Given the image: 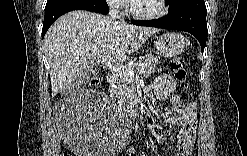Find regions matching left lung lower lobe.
Masks as SVG:
<instances>
[{
    "label": "left lung lower lobe",
    "instance_id": "1",
    "mask_svg": "<svg viewBox=\"0 0 247 156\" xmlns=\"http://www.w3.org/2000/svg\"><path fill=\"white\" fill-rule=\"evenodd\" d=\"M206 13L204 0H184L178 7L168 10V14L159 20L132 23L138 26L189 32L198 39L203 52L208 35Z\"/></svg>",
    "mask_w": 247,
    "mask_h": 156
}]
</instances>
